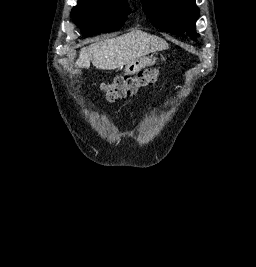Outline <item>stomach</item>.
Instances as JSON below:
<instances>
[{
  "label": "stomach",
  "mask_w": 256,
  "mask_h": 267,
  "mask_svg": "<svg viewBox=\"0 0 256 267\" xmlns=\"http://www.w3.org/2000/svg\"><path fill=\"white\" fill-rule=\"evenodd\" d=\"M135 67H157V62H135Z\"/></svg>",
  "instance_id": "obj_1"
}]
</instances>
